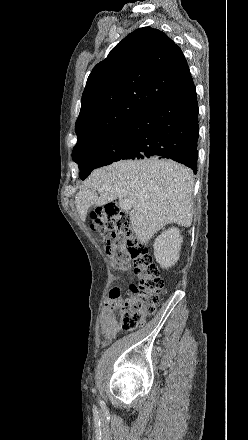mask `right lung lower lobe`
<instances>
[{
    "label": "right lung lower lobe",
    "instance_id": "right-lung-lower-lobe-1",
    "mask_svg": "<svg viewBox=\"0 0 248 440\" xmlns=\"http://www.w3.org/2000/svg\"><path fill=\"white\" fill-rule=\"evenodd\" d=\"M127 127L130 143L121 159L167 158L197 173L199 127L195 87L151 105Z\"/></svg>",
    "mask_w": 248,
    "mask_h": 440
}]
</instances>
